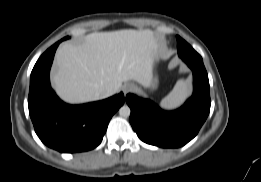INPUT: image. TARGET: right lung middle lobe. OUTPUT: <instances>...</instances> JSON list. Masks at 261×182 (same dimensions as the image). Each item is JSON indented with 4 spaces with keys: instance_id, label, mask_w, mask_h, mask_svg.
<instances>
[{
    "instance_id": "1",
    "label": "right lung middle lobe",
    "mask_w": 261,
    "mask_h": 182,
    "mask_svg": "<svg viewBox=\"0 0 261 182\" xmlns=\"http://www.w3.org/2000/svg\"><path fill=\"white\" fill-rule=\"evenodd\" d=\"M66 39H68V37L63 38V40H66Z\"/></svg>"
}]
</instances>
